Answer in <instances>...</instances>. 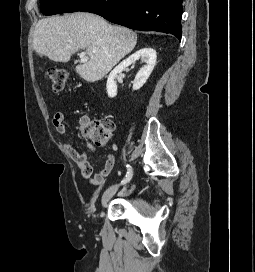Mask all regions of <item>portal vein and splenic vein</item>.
I'll list each match as a JSON object with an SVG mask.
<instances>
[{
	"label": "portal vein and splenic vein",
	"instance_id": "portal-vein-and-splenic-vein-1",
	"mask_svg": "<svg viewBox=\"0 0 255 272\" xmlns=\"http://www.w3.org/2000/svg\"><path fill=\"white\" fill-rule=\"evenodd\" d=\"M80 60H81V62H87V57H86V53L85 52H81L80 53Z\"/></svg>",
	"mask_w": 255,
	"mask_h": 272
}]
</instances>
